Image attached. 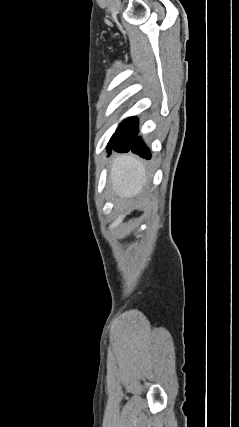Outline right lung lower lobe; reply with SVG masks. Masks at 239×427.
<instances>
[{
  "label": "right lung lower lobe",
  "mask_w": 239,
  "mask_h": 427,
  "mask_svg": "<svg viewBox=\"0 0 239 427\" xmlns=\"http://www.w3.org/2000/svg\"><path fill=\"white\" fill-rule=\"evenodd\" d=\"M128 151H132L135 154H138L140 157L145 159H150L151 155L149 152V149L146 147V145L142 142L141 138H137V135L130 146L129 149L126 150H117L119 153H126Z\"/></svg>",
  "instance_id": "right-lung-lower-lobe-1"
}]
</instances>
